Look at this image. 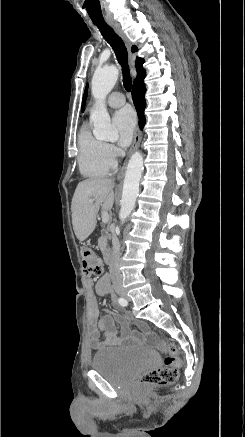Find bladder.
<instances>
[{
    "label": "bladder",
    "mask_w": 245,
    "mask_h": 437,
    "mask_svg": "<svg viewBox=\"0 0 245 437\" xmlns=\"http://www.w3.org/2000/svg\"><path fill=\"white\" fill-rule=\"evenodd\" d=\"M157 362L156 353L150 349L106 348L93 356L91 368L112 384L123 386Z\"/></svg>",
    "instance_id": "obj_1"
}]
</instances>
